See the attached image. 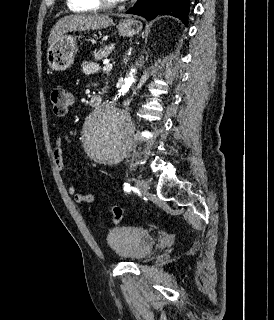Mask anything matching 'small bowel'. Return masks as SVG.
Returning a JSON list of instances; mask_svg holds the SVG:
<instances>
[{
    "instance_id": "obj_1",
    "label": "small bowel",
    "mask_w": 274,
    "mask_h": 320,
    "mask_svg": "<svg viewBox=\"0 0 274 320\" xmlns=\"http://www.w3.org/2000/svg\"><path fill=\"white\" fill-rule=\"evenodd\" d=\"M97 66L93 63H86L84 66L85 73H93L96 72ZM64 141L62 134H58L55 139L54 148H53V161L54 165L58 171H65V163H64ZM67 192L70 196H72L76 203H92L95 198V193H82L77 190L75 184H70L67 188Z\"/></svg>"
}]
</instances>
